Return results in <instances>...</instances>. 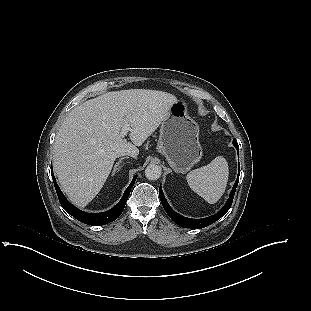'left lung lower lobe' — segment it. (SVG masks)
<instances>
[{
	"label": "left lung lower lobe",
	"mask_w": 311,
	"mask_h": 311,
	"mask_svg": "<svg viewBox=\"0 0 311 311\" xmlns=\"http://www.w3.org/2000/svg\"><path fill=\"white\" fill-rule=\"evenodd\" d=\"M233 144L236 147V149L239 151V146H238V143L236 142L235 139L233 140ZM239 169H240V167H239ZM238 180H239V177L237 178V180L233 186V189L230 193V196H229L226 204L224 205V207L218 213H216L210 217L203 218V219L187 218V217L179 215L174 210H172L171 207L169 206V204L167 203L165 197H164L161 186L159 188V196H160V200H161V203L163 205L164 210L166 211V213L169 215V217L176 224H178L184 228L200 229V228H204V227L209 226L212 223L216 222L218 219H220L222 216H224L226 214V212L230 209L232 201H233V197L235 194V190H236V187L238 185Z\"/></svg>",
	"instance_id": "1"
}]
</instances>
